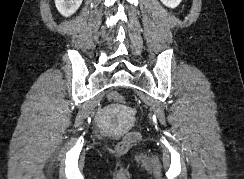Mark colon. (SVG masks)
Here are the masks:
<instances>
[{"mask_svg": "<svg viewBox=\"0 0 244 179\" xmlns=\"http://www.w3.org/2000/svg\"><path fill=\"white\" fill-rule=\"evenodd\" d=\"M123 97L122 93H109V100L110 101H121V98ZM122 142L117 143V152H125V147H130L131 143L134 141L133 137H122L121 138Z\"/></svg>", "mask_w": 244, "mask_h": 179, "instance_id": "5ec220e1", "label": "colon"}]
</instances>
